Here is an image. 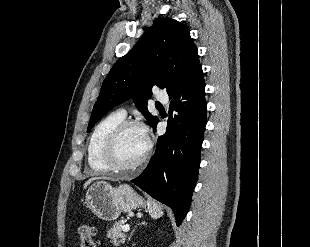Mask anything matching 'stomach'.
<instances>
[{
	"label": "stomach",
	"instance_id": "obj_1",
	"mask_svg": "<svg viewBox=\"0 0 310 247\" xmlns=\"http://www.w3.org/2000/svg\"><path fill=\"white\" fill-rule=\"evenodd\" d=\"M85 205L98 218L112 221L122 212L144 207L145 202L127 184L114 188L105 181H97L86 191Z\"/></svg>",
	"mask_w": 310,
	"mask_h": 247
}]
</instances>
